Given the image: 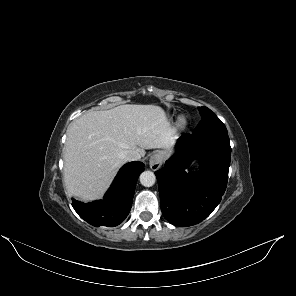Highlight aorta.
Segmentation results:
<instances>
[{"instance_id":"762f6f07","label":"aorta","mask_w":296,"mask_h":296,"mask_svg":"<svg viewBox=\"0 0 296 296\" xmlns=\"http://www.w3.org/2000/svg\"><path fill=\"white\" fill-rule=\"evenodd\" d=\"M140 183L145 187H151L155 184L156 176L151 171H144L140 175Z\"/></svg>"}]
</instances>
